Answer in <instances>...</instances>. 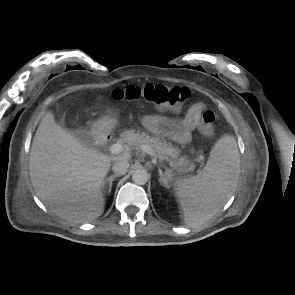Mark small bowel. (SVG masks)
Masks as SVG:
<instances>
[{
	"label": "small bowel",
	"instance_id": "small-bowel-1",
	"mask_svg": "<svg viewBox=\"0 0 295 295\" xmlns=\"http://www.w3.org/2000/svg\"><path fill=\"white\" fill-rule=\"evenodd\" d=\"M204 111H206L204 104L195 103L180 120H170L159 115L148 114L142 117V123L151 132L184 144L191 139L192 132L197 127Z\"/></svg>",
	"mask_w": 295,
	"mask_h": 295
}]
</instances>
